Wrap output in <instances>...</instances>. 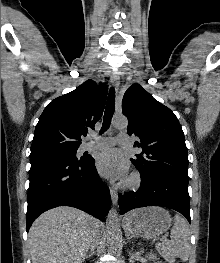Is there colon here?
<instances>
[{
	"mask_svg": "<svg viewBox=\"0 0 220 263\" xmlns=\"http://www.w3.org/2000/svg\"><path fill=\"white\" fill-rule=\"evenodd\" d=\"M177 263H184L183 261H178Z\"/></svg>",
	"mask_w": 220,
	"mask_h": 263,
	"instance_id": "5ec220e1",
	"label": "colon"
}]
</instances>
